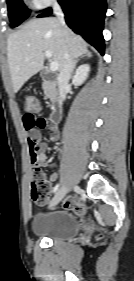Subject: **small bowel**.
<instances>
[{"label":"small bowel","instance_id":"c3829d8e","mask_svg":"<svg viewBox=\"0 0 134 281\" xmlns=\"http://www.w3.org/2000/svg\"><path fill=\"white\" fill-rule=\"evenodd\" d=\"M23 125L27 134L29 145L30 162L34 168L53 167L49 161L46 151L48 144L42 139L41 129L48 127L51 141L59 140L58 128L50 124L46 119L36 116L33 112H27L23 115ZM58 178L56 172L51 173L49 182H54Z\"/></svg>","mask_w":134,"mask_h":281}]
</instances>
